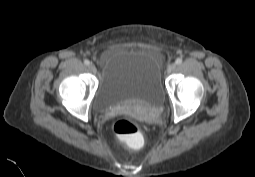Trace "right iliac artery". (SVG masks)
Instances as JSON below:
<instances>
[{
    "instance_id": "right-iliac-artery-1",
    "label": "right iliac artery",
    "mask_w": 255,
    "mask_h": 177,
    "mask_svg": "<svg viewBox=\"0 0 255 177\" xmlns=\"http://www.w3.org/2000/svg\"><path fill=\"white\" fill-rule=\"evenodd\" d=\"M84 64L86 65V66H88L89 64H90V62H89V60H84Z\"/></svg>"
}]
</instances>
